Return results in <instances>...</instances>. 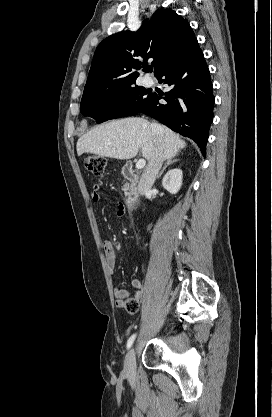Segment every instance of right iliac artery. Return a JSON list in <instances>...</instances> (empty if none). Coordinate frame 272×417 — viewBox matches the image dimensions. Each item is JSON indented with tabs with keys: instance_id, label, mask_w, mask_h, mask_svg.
Segmentation results:
<instances>
[{
	"instance_id": "82829eb1",
	"label": "right iliac artery",
	"mask_w": 272,
	"mask_h": 417,
	"mask_svg": "<svg viewBox=\"0 0 272 417\" xmlns=\"http://www.w3.org/2000/svg\"><path fill=\"white\" fill-rule=\"evenodd\" d=\"M135 338H136V334H133V335H132V336L128 339V342H127V349H129V348L132 346V344H133V342H134Z\"/></svg>"
}]
</instances>
